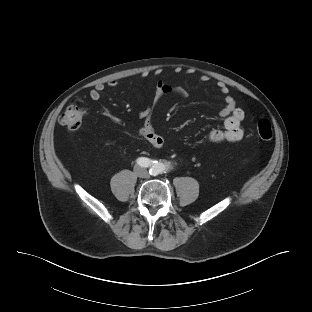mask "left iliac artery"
Returning <instances> with one entry per match:
<instances>
[{"instance_id":"44dca946","label":"left iliac artery","mask_w":312,"mask_h":312,"mask_svg":"<svg viewBox=\"0 0 312 312\" xmlns=\"http://www.w3.org/2000/svg\"><path fill=\"white\" fill-rule=\"evenodd\" d=\"M154 163H155V164H154L153 168H151L150 171H149V172H150L151 174H153V175L157 173L158 168H159V167H158L157 161H154Z\"/></svg>"}]
</instances>
